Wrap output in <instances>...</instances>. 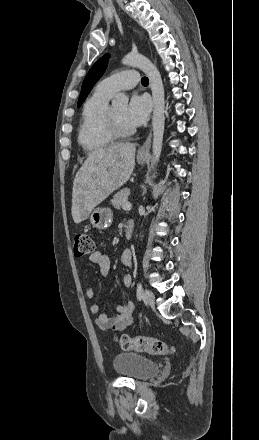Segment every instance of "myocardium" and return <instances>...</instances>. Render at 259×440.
Wrapping results in <instances>:
<instances>
[{
    "label": "myocardium",
    "mask_w": 259,
    "mask_h": 440,
    "mask_svg": "<svg viewBox=\"0 0 259 440\" xmlns=\"http://www.w3.org/2000/svg\"><path fill=\"white\" fill-rule=\"evenodd\" d=\"M107 125L110 134L115 139H122L132 136L135 133V129L132 128H124L118 122L112 107H109L107 113Z\"/></svg>",
    "instance_id": "obj_1"
}]
</instances>
